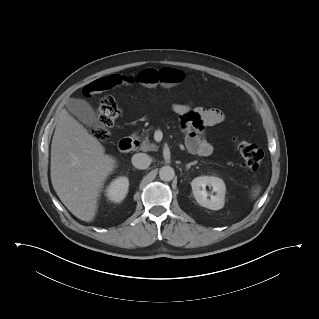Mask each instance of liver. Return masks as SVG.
Here are the masks:
<instances>
[{"instance_id":"obj_1","label":"liver","mask_w":319,"mask_h":319,"mask_svg":"<svg viewBox=\"0 0 319 319\" xmlns=\"http://www.w3.org/2000/svg\"><path fill=\"white\" fill-rule=\"evenodd\" d=\"M116 166L98 139L62 109L51 144V181L74 216L86 222L95 218L101 189Z\"/></svg>"}]
</instances>
